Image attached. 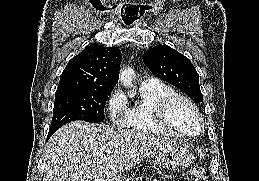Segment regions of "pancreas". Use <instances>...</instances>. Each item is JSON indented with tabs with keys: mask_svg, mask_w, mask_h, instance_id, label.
I'll return each instance as SVG.
<instances>
[{
	"mask_svg": "<svg viewBox=\"0 0 259 181\" xmlns=\"http://www.w3.org/2000/svg\"><path fill=\"white\" fill-rule=\"evenodd\" d=\"M137 181V180H136ZM140 181H142V177H140Z\"/></svg>",
	"mask_w": 259,
	"mask_h": 181,
	"instance_id": "cf45deb5",
	"label": "pancreas"
}]
</instances>
